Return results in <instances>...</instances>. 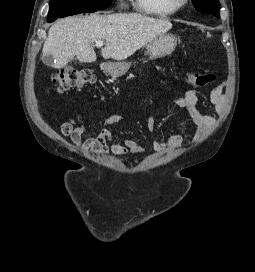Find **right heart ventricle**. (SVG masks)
<instances>
[{
	"mask_svg": "<svg viewBox=\"0 0 255 272\" xmlns=\"http://www.w3.org/2000/svg\"><path fill=\"white\" fill-rule=\"evenodd\" d=\"M134 4L137 11L158 17L171 16L178 11L167 0H135Z\"/></svg>",
	"mask_w": 255,
	"mask_h": 272,
	"instance_id": "1",
	"label": "right heart ventricle"
}]
</instances>
